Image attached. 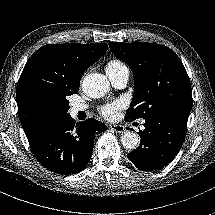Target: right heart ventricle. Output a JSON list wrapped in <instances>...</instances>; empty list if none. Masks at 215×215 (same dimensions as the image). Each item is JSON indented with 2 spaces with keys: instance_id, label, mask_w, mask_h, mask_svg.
I'll list each match as a JSON object with an SVG mask.
<instances>
[{
  "instance_id": "1",
  "label": "right heart ventricle",
  "mask_w": 215,
  "mask_h": 215,
  "mask_svg": "<svg viewBox=\"0 0 215 215\" xmlns=\"http://www.w3.org/2000/svg\"><path fill=\"white\" fill-rule=\"evenodd\" d=\"M125 69H128V67L118 59H112L106 64V72L108 75H115Z\"/></svg>"
}]
</instances>
